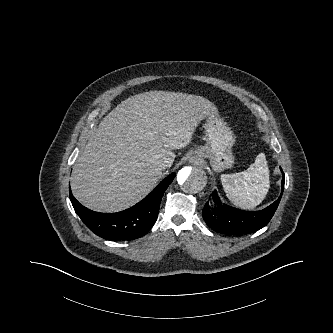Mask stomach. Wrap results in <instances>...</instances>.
<instances>
[{
	"label": "stomach",
	"mask_w": 333,
	"mask_h": 333,
	"mask_svg": "<svg viewBox=\"0 0 333 333\" xmlns=\"http://www.w3.org/2000/svg\"><path fill=\"white\" fill-rule=\"evenodd\" d=\"M205 129L207 143L205 146L199 147L196 153L203 158H208L215 171L232 167L234 156L231 148L234 145L235 137L231 129L218 114L214 117H207Z\"/></svg>",
	"instance_id": "0dacf381"
}]
</instances>
